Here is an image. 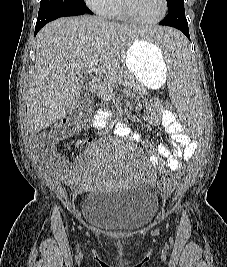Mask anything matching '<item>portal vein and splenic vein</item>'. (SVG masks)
<instances>
[{"label":"portal vein and splenic vein","mask_w":227,"mask_h":267,"mask_svg":"<svg viewBox=\"0 0 227 267\" xmlns=\"http://www.w3.org/2000/svg\"><path fill=\"white\" fill-rule=\"evenodd\" d=\"M97 64H98V61L97 60H94V61L90 62L89 66H88V68L86 70V72L88 74H91L95 70V67H96Z\"/></svg>","instance_id":"obj_1"}]
</instances>
